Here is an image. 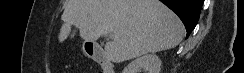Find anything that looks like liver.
Segmentation results:
<instances>
[{
	"label": "liver",
	"instance_id": "liver-1",
	"mask_svg": "<svg viewBox=\"0 0 244 73\" xmlns=\"http://www.w3.org/2000/svg\"><path fill=\"white\" fill-rule=\"evenodd\" d=\"M61 19L59 42L72 26L85 41L114 35L105 45L114 63L174 48L185 32L178 16L159 0H68Z\"/></svg>",
	"mask_w": 244,
	"mask_h": 73
}]
</instances>
